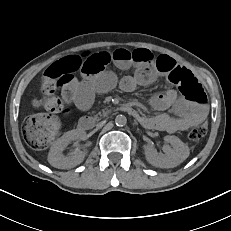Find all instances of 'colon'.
<instances>
[{"label":"colon","instance_id":"obj_1","mask_svg":"<svg viewBox=\"0 0 231 231\" xmlns=\"http://www.w3.org/2000/svg\"><path fill=\"white\" fill-rule=\"evenodd\" d=\"M72 74L69 68L57 61L50 65L41 79V94L34 100L36 107L45 108L49 113H40L32 116L25 125L24 137L27 144L34 150L47 148L58 135L60 121L56 114L64 112V100L71 98L70 83ZM169 80L178 86L181 93L195 101L205 102L206 95L197 79L186 70L174 71ZM59 92L62 98L59 96ZM207 127L199 124L189 131L188 137L198 141L205 136Z\"/></svg>","mask_w":231,"mask_h":231}]
</instances>
